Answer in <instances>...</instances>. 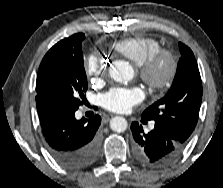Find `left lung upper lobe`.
Segmentation results:
<instances>
[{
	"label": "left lung upper lobe",
	"mask_w": 223,
	"mask_h": 188,
	"mask_svg": "<svg viewBox=\"0 0 223 188\" xmlns=\"http://www.w3.org/2000/svg\"><path fill=\"white\" fill-rule=\"evenodd\" d=\"M179 49L182 56L170 90L148 107L142 117L166 126L187 142L198 121L202 82L191 49L183 43H179Z\"/></svg>",
	"instance_id": "obj_1"
}]
</instances>
